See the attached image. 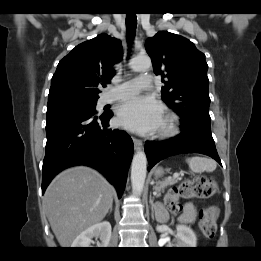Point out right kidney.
<instances>
[{
    "label": "right kidney",
    "mask_w": 261,
    "mask_h": 261,
    "mask_svg": "<svg viewBox=\"0 0 261 261\" xmlns=\"http://www.w3.org/2000/svg\"><path fill=\"white\" fill-rule=\"evenodd\" d=\"M111 229V224L108 221L95 224L79 234L73 241L71 247L88 248L93 242L92 238L95 237L100 239L98 247L106 248L111 239Z\"/></svg>",
    "instance_id": "obj_1"
}]
</instances>
